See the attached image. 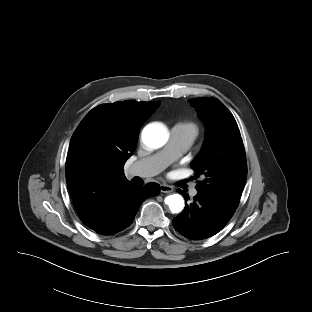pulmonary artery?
<instances>
[{"label":"pulmonary artery","instance_id":"1","mask_svg":"<svg viewBox=\"0 0 312 312\" xmlns=\"http://www.w3.org/2000/svg\"><path fill=\"white\" fill-rule=\"evenodd\" d=\"M192 137L179 126H174L170 131L167 145L160 152L151 157L141 159L133 163L132 174L141 177H151L160 173L169 163L178 158L192 144ZM192 196L197 194L193 188L190 191Z\"/></svg>","mask_w":312,"mask_h":312}]
</instances>
